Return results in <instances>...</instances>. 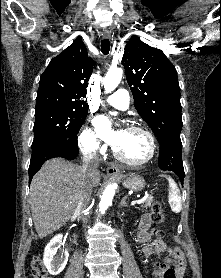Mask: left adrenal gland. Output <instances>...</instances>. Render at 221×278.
Instances as JSON below:
<instances>
[{
    "label": "left adrenal gland",
    "mask_w": 221,
    "mask_h": 278,
    "mask_svg": "<svg viewBox=\"0 0 221 278\" xmlns=\"http://www.w3.org/2000/svg\"><path fill=\"white\" fill-rule=\"evenodd\" d=\"M127 196H124L120 202V207H124V206H127Z\"/></svg>",
    "instance_id": "a2214340"
}]
</instances>
